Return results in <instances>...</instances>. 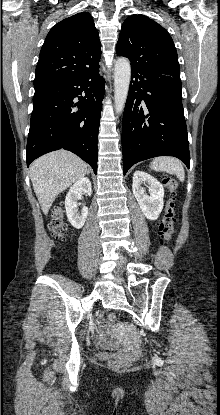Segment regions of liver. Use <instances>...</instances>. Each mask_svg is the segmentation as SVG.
<instances>
[{"instance_id": "obj_1", "label": "liver", "mask_w": 220, "mask_h": 415, "mask_svg": "<svg viewBox=\"0 0 220 415\" xmlns=\"http://www.w3.org/2000/svg\"><path fill=\"white\" fill-rule=\"evenodd\" d=\"M87 173V164L69 151H54L35 160L30 179L42 212L47 215L55 198Z\"/></svg>"}]
</instances>
